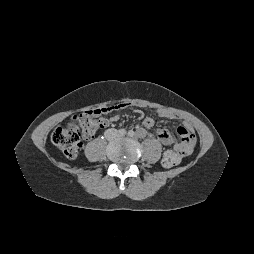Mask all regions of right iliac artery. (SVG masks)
Instances as JSON below:
<instances>
[{
  "instance_id": "82829eb1",
  "label": "right iliac artery",
  "mask_w": 254,
  "mask_h": 254,
  "mask_svg": "<svg viewBox=\"0 0 254 254\" xmlns=\"http://www.w3.org/2000/svg\"><path fill=\"white\" fill-rule=\"evenodd\" d=\"M118 132H119L120 135H125L126 134V130L125 129H120Z\"/></svg>"
}]
</instances>
